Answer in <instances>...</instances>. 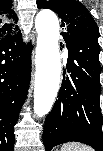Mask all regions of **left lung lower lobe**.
<instances>
[{
	"mask_svg": "<svg viewBox=\"0 0 103 151\" xmlns=\"http://www.w3.org/2000/svg\"><path fill=\"white\" fill-rule=\"evenodd\" d=\"M68 48L67 72L52 111L47 115L43 142L46 151L76 141L103 151L100 109V47L97 39L63 35Z\"/></svg>",
	"mask_w": 103,
	"mask_h": 151,
	"instance_id": "left-lung-lower-lobe-1",
	"label": "left lung lower lobe"
}]
</instances>
